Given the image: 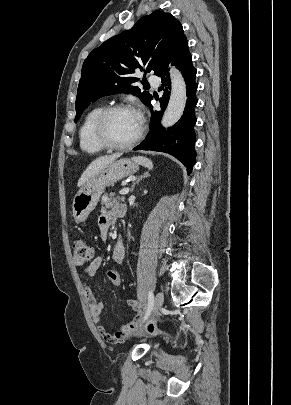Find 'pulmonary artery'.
I'll return each instance as SVG.
<instances>
[{
	"label": "pulmonary artery",
	"mask_w": 291,
	"mask_h": 405,
	"mask_svg": "<svg viewBox=\"0 0 291 405\" xmlns=\"http://www.w3.org/2000/svg\"><path fill=\"white\" fill-rule=\"evenodd\" d=\"M148 79H149L150 83H151L153 86L157 87V86L159 85V78H158L157 76H155V75H150Z\"/></svg>",
	"instance_id": "pulmonary-artery-1"
}]
</instances>
